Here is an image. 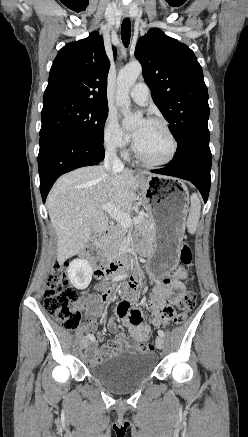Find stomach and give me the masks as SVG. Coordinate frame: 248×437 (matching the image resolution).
Returning <instances> with one entry per match:
<instances>
[{
	"label": "stomach",
	"instance_id": "stomach-1",
	"mask_svg": "<svg viewBox=\"0 0 248 437\" xmlns=\"http://www.w3.org/2000/svg\"><path fill=\"white\" fill-rule=\"evenodd\" d=\"M149 220L153 228L155 252L147 269L156 277L168 274L175 265L189 208L186 186L173 178L149 176L140 179Z\"/></svg>",
	"mask_w": 248,
	"mask_h": 437
}]
</instances>
